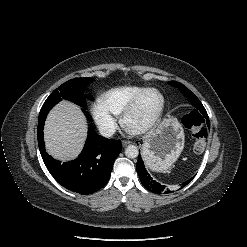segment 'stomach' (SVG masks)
Segmentation results:
<instances>
[{
  "label": "stomach",
  "instance_id": "stomach-1",
  "mask_svg": "<svg viewBox=\"0 0 247 247\" xmlns=\"http://www.w3.org/2000/svg\"><path fill=\"white\" fill-rule=\"evenodd\" d=\"M184 143L182 125L176 119H166L144 139L143 160L151 170L164 172L176 162Z\"/></svg>",
  "mask_w": 247,
  "mask_h": 247
}]
</instances>
